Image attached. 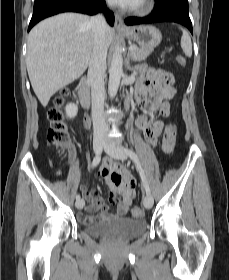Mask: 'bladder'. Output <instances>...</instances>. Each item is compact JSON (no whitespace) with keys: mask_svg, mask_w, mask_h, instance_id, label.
Instances as JSON below:
<instances>
[{"mask_svg":"<svg viewBox=\"0 0 229 280\" xmlns=\"http://www.w3.org/2000/svg\"><path fill=\"white\" fill-rule=\"evenodd\" d=\"M87 233L102 237L115 233L124 238H134L146 232L145 219L121 217L114 220H90L83 223Z\"/></svg>","mask_w":229,"mask_h":280,"instance_id":"1","label":"bladder"}]
</instances>
